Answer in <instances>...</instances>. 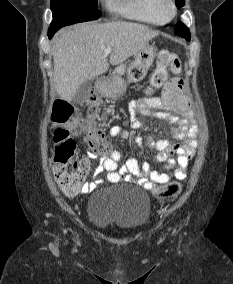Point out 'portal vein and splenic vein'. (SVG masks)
<instances>
[{"mask_svg": "<svg viewBox=\"0 0 233 284\" xmlns=\"http://www.w3.org/2000/svg\"><path fill=\"white\" fill-rule=\"evenodd\" d=\"M112 52V48L111 47H107L106 49H105V53L106 54H110Z\"/></svg>", "mask_w": 233, "mask_h": 284, "instance_id": "obj_1", "label": "portal vein and splenic vein"}]
</instances>
